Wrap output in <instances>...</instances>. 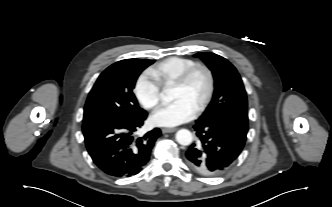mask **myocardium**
<instances>
[{"label": "myocardium", "instance_id": "1", "mask_svg": "<svg viewBox=\"0 0 332 207\" xmlns=\"http://www.w3.org/2000/svg\"><path fill=\"white\" fill-rule=\"evenodd\" d=\"M198 71H203L207 78L206 92L196 107V112L200 113L208 106L215 89V77L210 67L202 63H196L184 71L172 84L176 87H185Z\"/></svg>", "mask_w": 332, "mask_h": 207}]
</instances>
